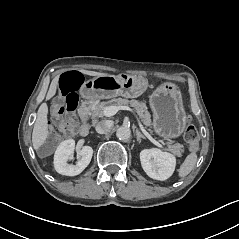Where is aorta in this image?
Segmentation results:
<instances>
[{
	"label": "aorta",
	"mask_w": 239,
	"mask_h": 239,
	"mask_svg": "<svg viewBox=\"0 0 239 239\" xmlns=\"http://www.w3.org/2000/svg\"><path fill=\"white\" fill-rule=\"evenodd\" d=\"M116 137L119 140H128L131 137V130L128 126H120L116 130Z\"/></svg>",
	"instance_id": "762f6f07"
}]
</instances>
